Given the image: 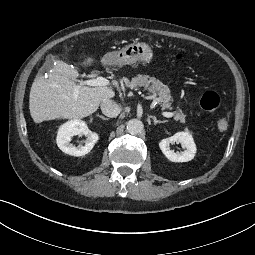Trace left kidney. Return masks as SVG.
<instances>
[{
  "label": "left kidney",
  "mask_w": 255,
  "mask_h": 255,
  "mask_svg": "<svg viewBox=\"0 0 255 255\" xmlns=\"http://www.w3.org/2000/svg\"><path fill=\"white\" fill-rule=\"evenodd\" d=\"M175 142L181 143L185 149L183 152L176 153L170 149V144ZM159 147L163 154L172 162H187L194 158L196 153V145L190 135L187 132H178L169 138L162 139L159 143Z\"/></svg>",
  "instance_id": "obj_1"
}]
</instances>
